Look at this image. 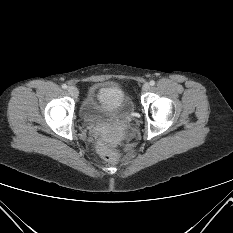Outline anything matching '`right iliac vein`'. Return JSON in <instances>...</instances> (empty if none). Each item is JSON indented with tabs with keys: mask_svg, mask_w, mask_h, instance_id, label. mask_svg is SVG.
Segmentation results:
<instances>
[{
	"mask_svg": "<svg viewBox=\"0 0 233 233\" xmlns=\"http://www.w3.org/2000/svg\"><path fill=\"white\" fill-rule=\"evenodd\" d=\"M67 90L71 96L75 97L78 94V90L73 86H69Z\"/></svg>",
	"mask_w": 233,
	"mask_h": 233,
	"instance_id": "1",
	"label": "right iliac vein"
}]
</instances>
